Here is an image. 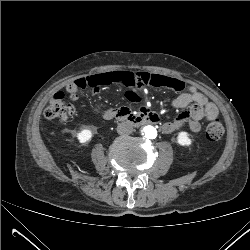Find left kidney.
<instances>
[{
  "instance_id": "left-kidney-1",
  "label": "left kidney",
  "mask_w": 250,
  "mask_h": 250,
  "mask_svg": "<svg viewBox=\"0 0 250 250\" xmlns=\"http://www.w3.org/2000/svg\"><path fill=\"white\" fill-rule=\"evenodd\" d=\"M177 143L181 146H190L192 144L190 134L186 131L179 132L177 135Z\"/></svg>"
}]
</instances>
